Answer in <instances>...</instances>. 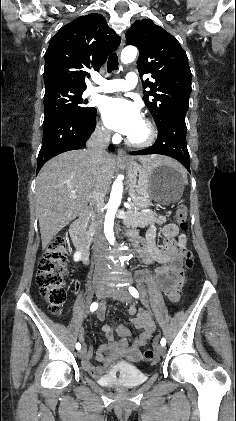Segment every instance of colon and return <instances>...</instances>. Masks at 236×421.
Instances as JSON below:
<instances>
[{"mask_svg":"<svg viewBox=\"0 0 236 421\" xmlns=\"http://www.w3.org/2000/svg\"><path fill=\"white\" fill-rule=\"evenodd\" d=\"M176 218L181 230L187 229V209L180 205L176 211ZM67 239L64 235L56 236L48 245L42 256L37 272V284L41 296L49 305L52 314L61 313L62 307L66 301L67 291L65 276L67 273ZM184 266L191 269L193 266V253L189 249H184ZM144 359L151 361L155 357L152 349L144 351Z\"/></svg>","mask_w":236,"mask_h":421,"instance_id":"obj_1","label":"colon"}]
</instances>
